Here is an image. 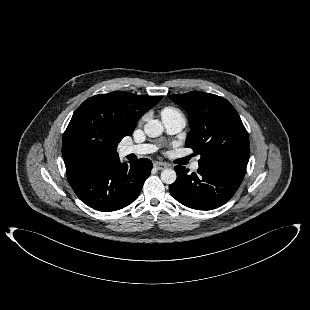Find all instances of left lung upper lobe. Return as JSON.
Segmentation results:
<instances>
[{"label": "left lung upper lobe", "instance_id": "1", "mask_svg": "<svg viewBox=\"0 0 310 310\" xmlns=\"http://www.w3.org/2000/svg\"><path fill=\"white\" fill-rule=\"evenodd\" d=\"M169 98L188 113L191 130L185 145L200 154L199 165L245 171L250 155L249 137L228 100L200 91Z\"/></svg>", "mask_w": 310, "mask_h": 310}]
</instances>
